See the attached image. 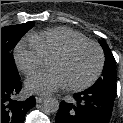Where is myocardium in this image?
<instances>
[{
    "instance_id": "1",
    "label": "myocardium",
    "mask_w": 123,
    "mask_h": 123,
    "mask_svg": "<svg viewBox=\"0 0 123 123\" xmlns=\"http://www.w3.org/2000/svg\"><path fill=\"white\" fill-rule=\"evenodd\" d=\"M93 47L96 49L98 56H99V62H98V66L96 71L94 72V74L91 76V78H89L87 81L80 83V84H71V85H67V89L71 90V91H82L85 90L87 88H89L90 86H92L100 77L104 65H105V54L104 51L102 49V47L97 44L96 42L93 41H83V42H78V43H74L68 47H66L65 49L55 53L52 57H58V58H66L69 57L70 55H72L74 52H76L77 50L83 48V47Z\"/></svg>"
}]
</instances>
